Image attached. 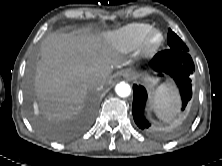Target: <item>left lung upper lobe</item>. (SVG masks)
I'll return each mask as SVG.
<instances>
[{"instance_id":"1","label":"left lung upper lobe","mask_w":222,"mask_h":166,"mask_svg":"<svg viewBox=\"0 0 222 166\" xmlns=\"http://www.w3.org/2000/svg\"><path fill=\"white\" fill-rule=\"evenodd\" d=\"M167 43L169 49L189 51L185 43L171 29L168 30Z\"/></svg>"}]
</instances>
